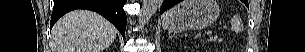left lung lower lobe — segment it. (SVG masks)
Wrapping results in <instances>:
<instances>
[{
	"label": "left lung lower lobe",
	"instance_id": "obj_1",
	"mask_svg": "<svg viewBox=\"0 0 305 52\" xmlns=\"http://www.w3.org/2000/svg\"><path fill=\"white\" fill-rule=\"evenodd\" d=\"M181 2V0H164L162 7L160 9V14H162L164 11L170 9L177 3Z\"/></svg>",
	"mask_w": 305,
	"mask_h": 52
}]
</instances>
